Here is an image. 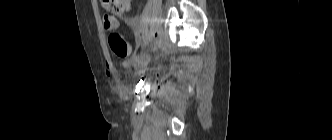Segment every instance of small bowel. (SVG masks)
Here are the masks:
<instances>
[{
  "mask_svg": "<svg viewBox=\"0 0 332 140\" xmlns=\"http://www.w3.org/2000/svg\"><path fill=\"white\" fill-rule=\"evenodd\" d=\"M130 60H125L124 62H123V66L125 67V68H128L129 66H130Z\"/></svg>",
  "mask_w": 332,
  "mask_h": 140,
  "instance_id": "1",
  "label": "small bowel"
}]
</instances>
